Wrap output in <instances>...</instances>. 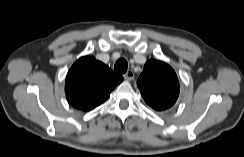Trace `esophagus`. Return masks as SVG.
<instances>
[{"label":"esophagus","instance_id":"34e87169","mask_svg":"<svg viewBox=\"0 0 244 157\" xmlns=\"http://www.w3.org/2000/svg\"><path fill=\"white\" fill-rule=\"evenodd\" d=\"M123 77L127 81H131L134 79V72L132 70H128L125 74H123Z\"/></svg>","mask_w":244,"mask_h":157}]
</instances>
